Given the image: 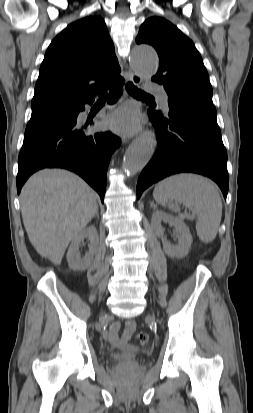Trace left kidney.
Masks as SVG:
<instances>
[{
    "instance_id": "5707ae66",
    "label": "left kidney",
    "mask_w": 253,
    "mask_h": 413,
    "mask_svg": "<svg viewBox=\"0 0 253 413\" xmlns=\"http://www.w3.org/2000/svg\"><path fill=\"white\" fill-rule=\"evenodd\" d=\"M162 222L175 227L178 237L177 245H171V243L164 237V228L161 225ZM151 225L156 235L162 239L163 250L169 257L183 258L188 254L193 239L189 228L181 218H175L162 211H155L152 215Z\"/></svg>"
}]
</instances>
